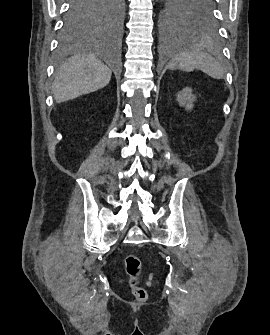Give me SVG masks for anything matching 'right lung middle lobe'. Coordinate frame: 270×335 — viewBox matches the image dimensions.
<instances>
[{
    "instance_id": "right-lung-middle-lobe-1",
    "label": "right lung middle lobe",
    "mask_w": 270,
    "mask_h": 335,
    "mask_svg": "<svg viewBox=\"0 0 270 335\" xmlns=\"http://www.w3.org/2000/svg\"><path fill=\"white\" fill-rule=\"evenodd\" d=\"M64 18L60 42L71 43L78 36L97 26L118 29L121 26L126 0H70Z\"/></svg>"
}]
</instances>
